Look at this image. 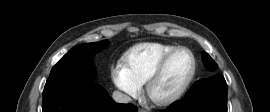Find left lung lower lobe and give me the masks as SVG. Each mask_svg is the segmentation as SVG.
Segmentation results:
<instances>
[{"mask_svg":"<svg viewBox=\"0 0 270 112\" xmlns=\"http://www.w3.org/2000/svg\"><path fill=\"white\" fill-rule=\"evenodd\" d=\"M162 112H227V84L223 76L208 78Z\"/></svg>","mask_w":270,"mask_h":112,"instance_id":"left-lung-lower-lobe-1","label":"left lung lower lobe"}]
</instances>
